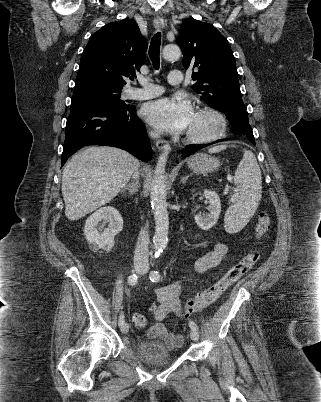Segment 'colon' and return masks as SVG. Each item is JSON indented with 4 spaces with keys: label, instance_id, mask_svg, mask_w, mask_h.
<instances>
[{
    "label": "colon",
    "instance_id": "1",
    "mask_svg": "<svg viewBox=\"0 0 321 402\" xmlns=\"http://www.w3.org/2000/svg\"><path fill=\"white\" fill-rule=\"evenodd\" d=\"M270 225L269 214L265 211L260 212L255 226L257 240L266 236ZM258 257L259 253L257 249H251L247 252L218 281L205 289L195 299L188 301L184 308V315H189L214 303L231 284L245 275L254 266ZM133 323L136 327L143 328L146 325V318L143 314L135 313L133 315Z\"/></svg>",
    "mask_w": 321,
    "mask_h": 402
}]
</instances>
